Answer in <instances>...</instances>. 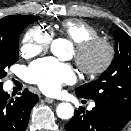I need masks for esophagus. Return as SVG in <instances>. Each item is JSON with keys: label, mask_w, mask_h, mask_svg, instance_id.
Masks as SVG:
<instances>
[{"label": "esophagus", "mask_w": 131, "mask_h": 131, "mask_svg": "<svg viewBox=\"0 0 131 131\" xmlns=\"http://www.w3.org/2000/svg\"><path fill=\"white\" fill-rule=\"evenodd\" d=\"M44 100H45V102H47V103H49V104L55 102L54 99L48 98V97H46Z\"/></svg>", "instance_id": "esophagus-1"}]
</instances>
